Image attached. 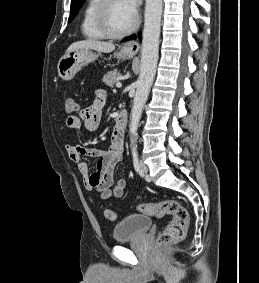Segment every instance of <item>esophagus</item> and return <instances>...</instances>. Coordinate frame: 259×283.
Listing matches in <instances>:
<instances>
[{
	"label": "esophagus",
	"mask_w": 259,
	"mask_h": 283,
	"mask_svg": "<svg viewBox=\"0 0 259 283\" xmlns=\"http://www.w3.org/2000/svg\"><path fill=\"white\" fill-rule=\"evenodd\" d=\"M122 50L129 54H136L139 50V44L136 40H129L123 44Z\"/></svg>",
	"instance_id": "34e87169"
}]
</instances>
